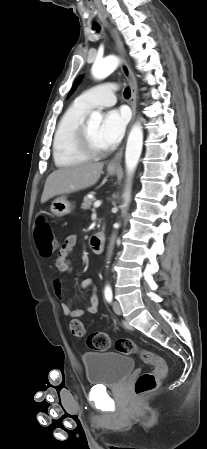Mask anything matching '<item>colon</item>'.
I'll list each match as a JSON object with an SVG mask.
<instances>
[{
	"mask_svg": "<svg viewBox=\"0 0 207 449\" xmlns=\"http://www.w3.org/2000/svg\"><path fill=\"white\" fill-rule=\"evenodd\" d=\"M34 240L42 257H51L58 247V240L49 224L39 221L34 229ZM71 333L76 337L85 335V328L79 319H72L69 323ZM87 345L96 351H106L111 346V339L107 333L94 332L88 335ZM116 352L124 355H138L142 362L152 365L153 371L142 373L134 384L136 395H144L157 389L159 379L167 373L164 359L155 353L138 347L127 338L116 339L113 343Z\"/></svg>",
	"mask_w": 207,
	"mask_h": 449,
	"instance_id": "5ec220e1",
	"label": "colon"
}]
</instances>
